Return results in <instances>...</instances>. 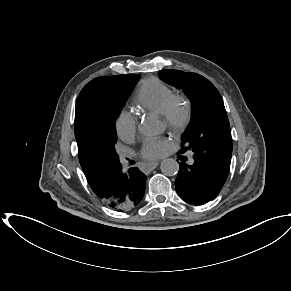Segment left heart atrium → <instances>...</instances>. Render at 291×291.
Wrapping results in <instances>:
<instances>
[{
	"label": "left heart atrium",
	"mask_w": 291,
	"mask_h": 291,
	"mask_svg": "<svg viewBox=\"0 0 291 291\" xmlns=\"http://www.w3.org/2000/svg\"><path fill=\"white\" fill-rule=\"evenodd\" d=\"M170 142L167 138H148L143 142L140 155L148 160H155L163 157L169 148Z\"/></svg>",
	"instance_id": "1"
}]
</instances>
